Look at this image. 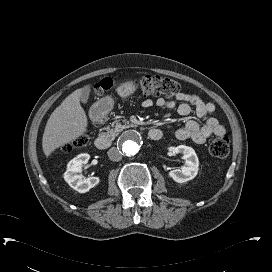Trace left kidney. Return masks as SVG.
<instances>
[{
    "label": "left kidney",
    "mask_w": 272,
    "mask_h": 272,
    "mask_svg": "<svg viewBox=\"0 0 272 272\" xmlns=\"http://www.w3.org/2000/svg\"><path fill=\"white\" fill-rule=\"evenodd\" d=\"M170 152L174 154H182L185 164L181 169H175L169 172V177L177 183H184L196 177L199 170V160L192 147L179 145L177 147H170Z\"/></svg>",
    "instance_id": "1"
}]
</instances>
